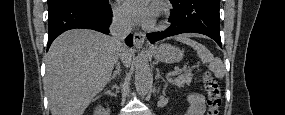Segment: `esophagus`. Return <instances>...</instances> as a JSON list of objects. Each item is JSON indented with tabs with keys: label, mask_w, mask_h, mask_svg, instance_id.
Returning a JSON list of instances; mask_svg holds the SVG:
<instances>
[{
	"label": "esophagus",
	"mask_w": 285,
	"mask_h": 115,
	"mask_svg": "<svg viewBox=\"0 0 285 115\" xmlns=\"http://www.w3.org/2000/svg\"><path fill=\"white\" fill-rule=\"evenodd\" d=\"M133 41L136 48L143 47L145 42V34L143 32H134Z\"/></svg>",
	"instance_id": "obj_1"
}]
</instances>
